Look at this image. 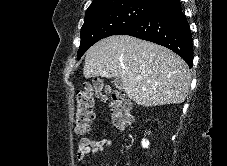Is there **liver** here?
I'll list each match as a JSON object with an SVG mask.
<instances>
[{
    "label": "liver",
    "mask_w": 227,
    "mask_h": 166,
    "mask_svg": "<svg viewBox=\"0 0 227 166\" xmlns=\"http://www.w3.org/2000/svg\"><path fill=\"white\" fill-rule=\"evenodd\" d=\"M85 78H119L125 93L146 106L182 103L191 73L186 62L161 45L127 35L104 38L88 49Z\"/></svg>",
    "instance_id": "6515ba94"
}]
</instances>
